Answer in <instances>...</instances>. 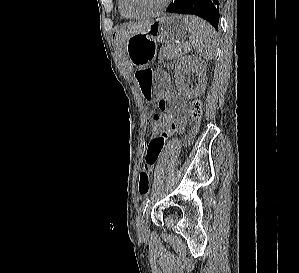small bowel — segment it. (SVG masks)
<instances>
[{
  "label": "small bowel",
  "instance_id": "small-bowel-1",
  "mask_svg": "<svg viewBox=\"0 0 299 273\" xmlns=\"http://www.w3.org/2000/svg\"><path fill=\"white\" fill-rule=\"evenodd\" d=\"M160 110L170 117V123L164 133L157 137H151L144 147L145 166L148 173L157 163L164 148L168 134L172 130H181L186 124V103L182 97L172 93L167 100L159 103Z\"/></svg>",
  "mask_w": 299,
  "mask_h": 273
}]
</instances>
